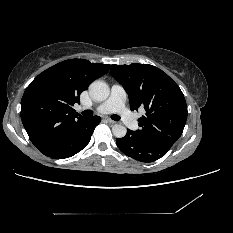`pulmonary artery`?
Segmentation results:
<instances>
[{"instance_id": "e3ab8cb5", "label": "pulmonary artery", "mask_w": 233, "mask_h": 233, "mask_svg": "<svg viewBox=\"0 0 233 233\" xmlns=\"http://www.w3.org/2000/svg\"><path fill=\"white\" fill-rule=\"evenodd\" d=\"M97 110L100 113L116 112L128 127L138 128L137 118L126 108V93L120 85L112 86L109 98Z\"/></svg>"}]
</instances>
